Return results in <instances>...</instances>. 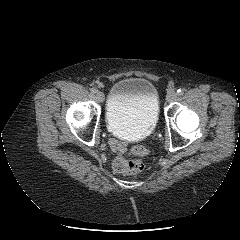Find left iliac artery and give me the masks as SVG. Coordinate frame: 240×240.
<instances>
[{
	"label": "left iliac artery",
	"mask_w": 240,
	"mask_h": 240,
	"mask_svg": "<svg viewBox=\"0 0 240 240\" xmlns=\"http://www.w3.org/2000/svg\"><path fill=\"white\" fill-rule=\"evenodd\" d=\"M177 94H178L179 96H182V95L184 94V90H183V89H178V90H177Z\"/></svg>",
	"instance_id": "left-iliac-artery-1"
}]
</instances>
